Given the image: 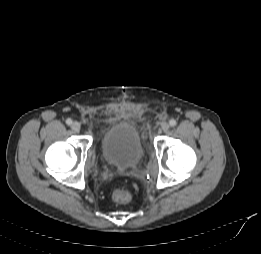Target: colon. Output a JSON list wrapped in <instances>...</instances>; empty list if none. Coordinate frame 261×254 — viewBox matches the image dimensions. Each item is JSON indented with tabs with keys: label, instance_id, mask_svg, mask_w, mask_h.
<instances>
[{
	"label": "colon",
	"instance_id": "obj_1",
	"mask_svg": "<svg viewBox=\"0 0 261 254\" xmlns=\"http://www.w3.org/2000/svg\"><path fill=\"white\" fill-rule=\"evenodd\" d=\"M131 193L127 190H115L112 193V199L116 202V203H120V204H124V203H128L131 200Z\"/></svg>",
	"mask_w": 261,
	"mask_h": 254
}]
</instances>
